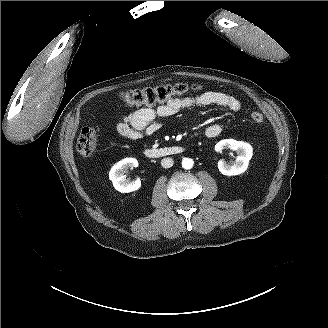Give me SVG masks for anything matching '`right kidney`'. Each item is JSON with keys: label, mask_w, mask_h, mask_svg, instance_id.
Returning a JSON list of instances; mask_svg holds the SVG:
<instances>
[{"label": "right kidney", "mask_w": 328, "mask_h": 328, "mask_svg": "<svg viewBox=\"0 0 328 328\" xmlns=\"http://www.w3.org/2000/svg\"><path fill=\"white\" fill-rule=\"evenodd\" d=\"M138 166V161L135 158H125L115 164L109 172V178L114 188L121 193H129L141 188L139 180L135 182H128L125 180L124 172L128 168H135Z\"/></svg>", "instance_id": "obj_1"}]
</instances>
